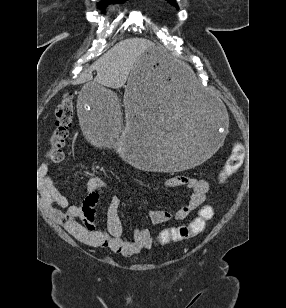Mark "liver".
Listing matches in <instances>:
<instances>
[{"instance_id": "6515ba94", "label": "liver", "mask_w": 286, "mask_h": 308, "mask_svg": "<svg viewBox=\"0 0 286 308\" xmlns=\"http://www.w3.org/2000/svg\"><path fill=\"white\" fill-rule=\"evenodd\" d=\"M149 49L159 51L158 47L147 39L130 38L120 41L84 71L75 83L91 81L92 71L96 70L97 76L94 78L96 83L119 89L126 83L135 62Z\"/></svg>"}]
</instances>
